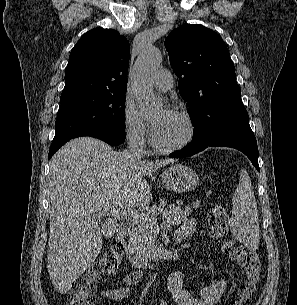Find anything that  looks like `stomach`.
I'll list each match as a JSON object with an SVG mask.
<instances>
[{
  "instance_id": "1",
  "label": "stomach",
  "mask_w": 297,
  "mask_h": 305,
  "mask_svg": "<svg viewBox=\"0 0 297 305\" xmlns=\"http://www.w3.org/2000/svg\"><path fill=\"white\" fill-rule=\"evenodd\" d=\"M162 183L170 191L185 193L199 186V177L192 168L176 164L162 173Z\"/></svg>"
}]
</instances>
